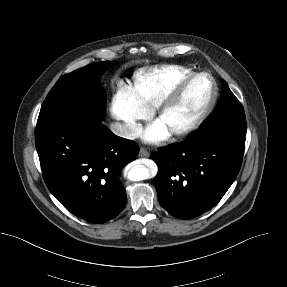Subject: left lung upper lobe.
Here are the masks:
<instances>
[{"instance_id": "1", "label": "left lung upper lobe", "mask_w": 287, "mask_h": 287, "mask_svg": "<svg viewBox=\"0 0 287 287\" xmlns=\"http://www.w3.org/2000/svg\"><path fill=\"white\" fill-rule=\"evenodd\" d=\"M246 129L243 106L223 80L221 100L197 134L207 138H226L245 142Z\"/></svg>"}]
</instances>
